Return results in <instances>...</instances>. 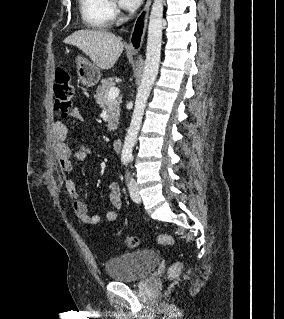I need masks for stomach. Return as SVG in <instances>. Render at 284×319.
<instances>
[{"instance_id":"0dacf381","label":"stomach","mask_w":284,"mask_h":319,"mask_svg":"<svg viewBox=\"0 0 284 319\" xmlns=\"http://www.w3.org/2000/svg\"><path fill=\"white\" fill-rule=\"evenodd\" d=\"M76 64L78 78L84 86L92 87L98 83L100 79L98 67L81 56H77Z\"/></svg>"}]
</instances>
